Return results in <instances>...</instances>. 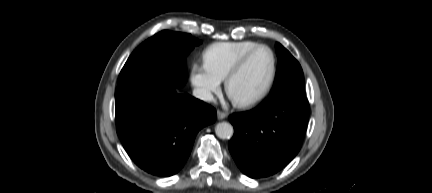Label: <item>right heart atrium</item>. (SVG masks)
I'll use <instances>...</instances> for the list:
<instances>
[{
  "mask_svg": "<svg viewBox=\"0 0 432 193\" xmlns=\"http://www.w3.org/2000/svg\"><path fill=\"white\" fill-rule=\"evenodd\" d=\"M190 80L197 96L204 101H211L220 91V81L203 63L194 62L190 69Z\"/></svg>",
  "mask_w": 432,
  "mask_h": 193,
  "instance_id": "1",
  "label": "right heart atrium"
}]
</instances>
